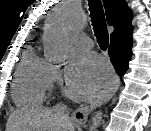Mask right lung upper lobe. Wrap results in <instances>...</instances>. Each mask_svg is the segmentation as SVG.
<instances>
[{"label":"right lung upper lobe","mask_w":151,"mask_h":131,"mask_svg":"<svg viewBox=\"0 0 151 131\" xmlns=\"http://www.w3.org/2000/svg\"><path fill=\"white\" fill-rule=\"evenodd\" d=\"M107 22L114 26L111 42L132 41V11L125 0H103Z\"/></svg>","instance_id":"cb5924a9"}]
</instances>
